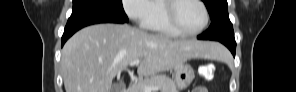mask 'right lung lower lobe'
Wrapping results in <instances>:
<instances>
[{"label": "right lung lower lobe", "mask_w": 296, "mask_h": 92, "mask_svg": "<svg viewBox=\"0 0 296 92\" xmlns=\"http://www.w3.org/2000/svg\"><path fill=\"white\" fill-rule=\"evenodd\" d=\"M128 21H124L118 18H115L113 16L101 14V13H94V12H89V13H81V14H75L71 15L70 18L68 19L67 25L65 27L62 40H61V45L63 46L66 40L73 35L76 31L79 29L92 25V24H97V23H126Z\"/></svg>", "instance_id": "1"}]
</instances>
